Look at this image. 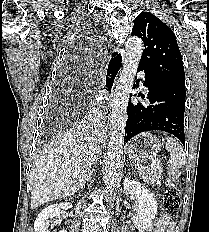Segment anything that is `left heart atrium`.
<instances>
[{
	"label": "left heart atrium",
	"instance_id": "left-heart-atrium-1",
	"mask_svg": "<svg viewBox=\"0 0 209 232\" xmlns=\"http://www.w3.org/2000/svg\"><path fill=\"white\" fill-rule=\"evenodd\" d=\"M105 98H106V97L102 95V96L100 97V100H103V99H105Z\"/></svg>",
	"mask_w": 209,
	"mask_h": 232
}]
</instances>
